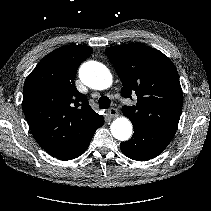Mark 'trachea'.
<instances>
[{
    "mask_svg": "<svg viewBox=\"0 0 211 211\" xmlns=\"http://www.w3.org/2000/svg\"><path fill=\"white\" fill-rule=\"evenodd\" d=\"M98 103H99V108L101 109H108L111 105L110 99L106 96L100 97Z\"/></svg>",
    "mask_w": 211,
    "mask_h": 211,
    "instance_id": "trachea-1",
    "label": "trachea"
}]
</instances>
